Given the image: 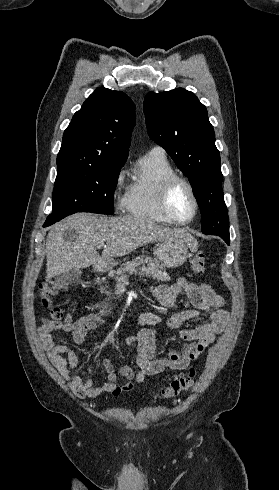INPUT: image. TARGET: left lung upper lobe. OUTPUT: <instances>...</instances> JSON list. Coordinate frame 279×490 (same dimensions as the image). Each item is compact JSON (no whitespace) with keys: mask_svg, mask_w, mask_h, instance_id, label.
I'll list each match as a JSON object with an SVG mask.
<instances>
[{"mask_svg":"<svg viewBox=\"0 0 279 490\" xmlns=\"http://www.w3.org/2000/svg\"><path fill=\"white\" fill-rule=\"evenodd\" d=\"M147 131L189 178L201 209L206 235H218L229 244L228 210L221 186L220 153L206 107L183 88L150 92L145 96Z\"/></svg>","mask_w":279,"mask_h":490,"instance_id":"left-lung-upper-lobe-1","label":"left lung upper lobe"}]
</instances>
